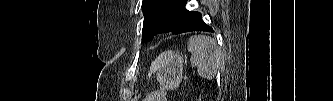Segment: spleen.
Masks as SVG:
<instances>
[{"mask_svg": "<svg viewBox=\"0 0 333 101\" xmlns=\"http://www.w3.org/2000/svg\"><path fill=\"white\" fill-rule=\"evenodd\" d=\"M188 51L191 52V66L197 67L198 75L213 79L222 60V52L216 41L209 36H192L188 41Z\"/></svg>", "mask_w": 333, "mask_h": 101, "instance_id": "1", "label": "spleen"}]
</instances>
